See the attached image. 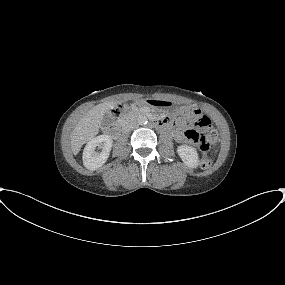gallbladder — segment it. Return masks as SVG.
I'll use <instances>...</instances> for the list:
<instances>
[{
  "label": "gallbladder",
  "instance_id": "gallbladder-1",
  "mask_svg": "<svg viewBox=\"0 0 285 285\" xmlns=\"http://www.w3.org/2000/svg\"><path fill=\"white\" fill-rule=\"evenodd\" d=\"M113 118H114L113 114L108 111L105 113L102 122L103 124H110L113 122Z\"/></svg>",
  "mask_w": 285,
  "mask_h": 285
}]
</instances>
